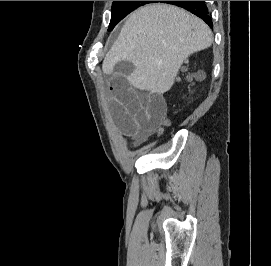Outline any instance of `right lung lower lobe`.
I'll return each mask as SVG.
<instances>
[{"mask_svg":"<svg viewBox=\"0 0 271 266\" xmlns=\"http://www.w3.org/2000/svg\"><path fill=\"white\" fill-rule=\"evenodd\" d=\"M162 3H168L177 5L185 8L196 16L200 17L204 22H206L210 28L213 27L211 17L209 15L208 9L204 4V1H156Z\"/></svg>","mask_w":271,"mask_h":266,"instance_id":"right-lung-lower-lobe-1","label":"right lung lower lobe"}]
</instances>
